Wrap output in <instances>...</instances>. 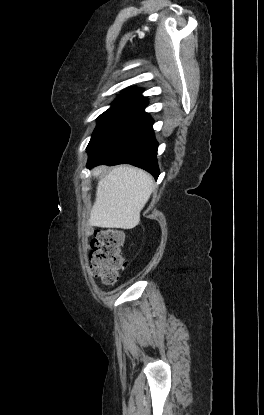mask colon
Returning a JSON list of instances; mask_svg holds the SVG:
<instances>
[{"label":"colon","instance_id":"obj_1","mask_svg":"<svg viewBox=\"0 0 264 415\" xmlns=\"http://www.w3.org/2000/svg\"><path fill=\"white\" fill-rule=\"evenodd\" d=\"M123 244L124 233L118 229L99 228L94 231L88 249L89 268L105 285L117 282L126 263L122 254Z\"/></svg>","mask_w":264,"mask_h":415}]
</instances>
